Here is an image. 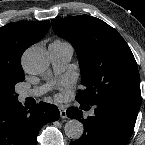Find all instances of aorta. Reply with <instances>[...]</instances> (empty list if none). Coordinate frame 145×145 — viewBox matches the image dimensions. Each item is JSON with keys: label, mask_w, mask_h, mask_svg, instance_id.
Segmentation results:
<instances>
[{"label": "aorta", "mask_w": 145, "mask_h": 145, "mask_svg": "<svg viewBox=\"0 0 145 145\" xmlns=\"http://www.w3.org/2000/svg\"><path fill=\"white\" fill-rule=\"evenodd\" d=\"M22 64L28 73L40 74L50 65L49 55L41 47H30L23 54ZM64 132L68 138L77 140L82 136L84 127L80 121L71 119L65 124Z\"/></svg>", "instance_id": "762f6f07"}]
</instances>
